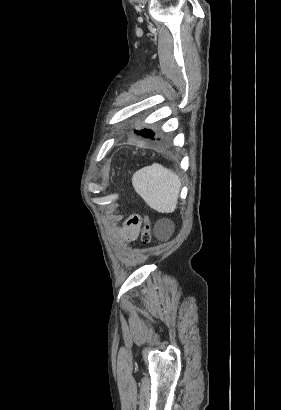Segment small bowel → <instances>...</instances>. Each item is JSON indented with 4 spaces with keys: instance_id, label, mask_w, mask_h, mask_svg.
Returning a JSON list of instances; mask_svg holds the SVG:
<instances>
[{
    "instance_id": "1",
    "label": "small bowel",
    "mask_w": 281,
    "mask_h": 410,
    "mask_svg": "<svg viewBox=\"0 0 281 410\" xmlns=\"http://www.w3.org/2000/svg\"><path fill=\"white\" fill-rule=\"evenodd\" d=\"M139 230L140 226L136 223L130 222L129 219L125 226L121 229L120 233L127 241H133L137 238Z\"/></svg>"
}]
</instances>
